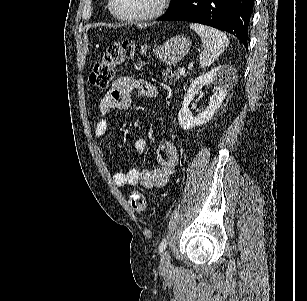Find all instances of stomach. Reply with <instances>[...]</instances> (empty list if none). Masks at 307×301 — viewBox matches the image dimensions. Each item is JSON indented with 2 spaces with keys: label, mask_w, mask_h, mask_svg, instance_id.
Segmentation results:
<instances>
[{
  "label": "stomach",
  "mask_w": 307,
  "mask_h": 301,
  "mask_svg": "<svg viewBox=\"0 0 307 301\" xmlns=\"http://www.w3.org/2000/svg\"><path fill=\"white\" fill-rule=\"evenodd\" d=\"M191 40L183 34H176L172 38H168L163 44H159L155 48V56L161 62L166 64H174L177 60H181L188 50L191 48Z\"/></svg>",
  "instance_id": "1"
}]
</instances>
